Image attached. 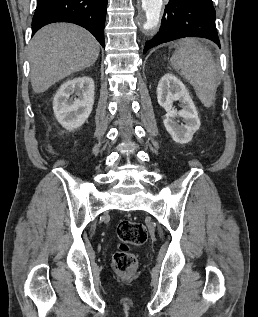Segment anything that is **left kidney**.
<instances>
[{"label":"left kidney","mask_w":258,"mask_h":317,"mask_svg":"<svg viewBox=\"0 0 258 317\" xmlns=\"http://www.w3.org/2000/svg\"><path fill=\"white\" fill-rule=\"evenodd\" d=\"M157 100L160 106H164L166 110L163 122L173 140L180 142V144L190 142L201 122L196 106L182 80H179L171 72H166L158 82ZM173 100L181 102L182 110H175ZM176 116H181L185 124H178L174 120Z\"/></svg>","instance_id":"1"}]
</instances>
